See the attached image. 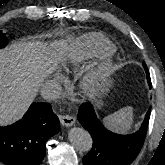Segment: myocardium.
Instances as JSON below:
<instances>
[{"label": "myocardium", "mask_w": 165, "mask_h": 165, "mask_svg": "<svg viewBox=\"0 0 165 165\" xmlns=\"http://www.w3.org/2000/svg\"><path fill=\"white\" fill-rule=\"evenodd\" d=\"M111 63L107 62L105 64V67L108 68L110 67ZM96 83H97V78L94 76H87L85 77V79L83 80L82 84H81V90L83 93L88 94L91 93L92 91H94L95 87H96Z\"/></svg>", "instance_id": "f54148a6"}]
</instances>
